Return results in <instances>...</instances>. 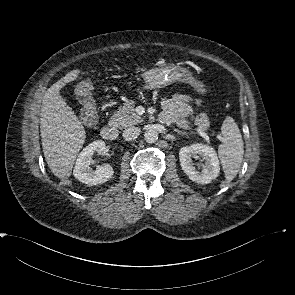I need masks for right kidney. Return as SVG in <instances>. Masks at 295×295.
I'll return each instance as SVG.
<instances>
[{
    "label": "right kidney",
    "instance_id": "right-kidney-1",
    "mask_svg": "<svg viewBox=\"0 0 295 295\" xmlns=\"http://www.w3.org/2000/svg\"><path fill=\"white\" fill-rule=\"evenodd\" d=\"M107 152L108 148L102 140L94 141L86 146L76 160L73 171L74 177L87 185L102 184L112 178L114 171L109 164L97 166L95 171L90 168L93 163L92 156L95 153L105 155Z\"/></svg>",
    "mask_w": 295,
    "mask_h": 295
}]
</instances>
